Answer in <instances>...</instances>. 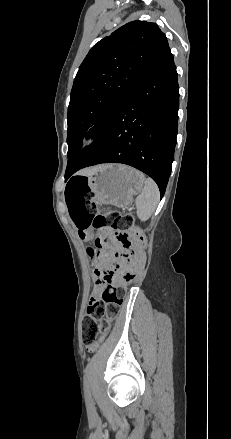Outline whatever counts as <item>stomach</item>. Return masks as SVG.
Wrapping results in <instances>:
<instances>
[{"instance_id":"1","label":"stomach","mask_w":231,"mask_h":439,"mask_svg":"<svg viewBox=\"0 0 231 439\" xmlns=\"http://www.w3.org/2000/svg\"><path fill=\"white\" fill-rule=\"evenodd\" d=\"M87 188L94 193V201L99 204H111L126 207L133 196L139 194L144 186V175L129 166L107 164L90 175L83 176Z\"/></svg>"}]
</instances>
